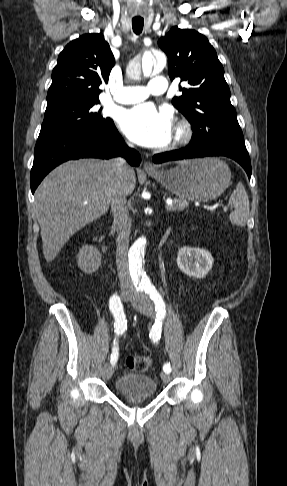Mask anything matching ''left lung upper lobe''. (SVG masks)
I'll list each match as a JSON object with an SVG mask.
<instances>
[{"label":"left lung upper lobe","instance_id":"obj_1","mask_svg":"<svg viewBox=\"0 0 287 486\" xmlns=\"http://www.w3.org/2000/svg\"><path fill=\"white\" fill-rule=\"evenodd\" d=\"M158 44L168 56L170 79L180 77L189 84L179 88L182 95L172 104L192 125L191 142L246 149L223 66L208 39L175 26Z\"/></svg>","mask_w":287,"mask_h":486}]
</instances>
